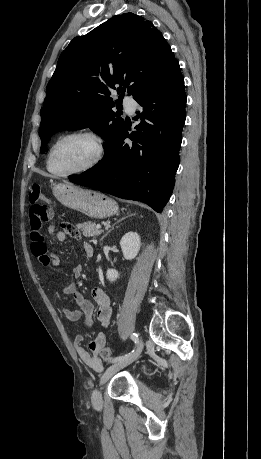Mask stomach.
Here are the masks:
<instances>
[{
    "label": "stomach",
    "mask_w": 261,
    "mask_h": 459,
    "mask_svg": "<svg viewBox=\"0 0 261 459\" xmlns=\"http://www.w3.org/2000/svg\"><path fill=\"white\" fill-rule=\"evenodd\" d=\"M53 194L63 206L91 218L103 219L118 213L117 203L95 190L60 183L53 187Z\"/></svg>",
    "instance_id": "1"
}]
</instances>
